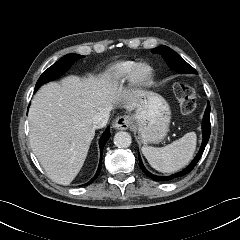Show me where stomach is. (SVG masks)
<instances>
[{
	"instance_id": "obj_1",
	"label": "stomach",
	"mask_w": 240,
	"mask_h": 240,
	"mask_svg": "<svg viewBox=\"0 0 240 240\" xmlns=\"http://www.w3.org/2000/svg\"><path fill=\"white\" fill-rule=\"evenodd\" d=\"M170 115L169 105L161 96L152 92L144 94L131 117L141 142L159 143L169 131Z\"/></svg>"
}]
</instances>
